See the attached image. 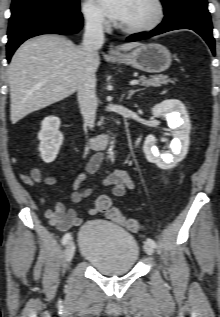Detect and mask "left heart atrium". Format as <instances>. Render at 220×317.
<instances>
[{
    "label": "left heart atrium",
    "mask_w": 220,
    "mask_h": 317,
    "mask_svg": "<svg viewBox=\"0 0 220 317\" xmlns=\"http://www.w3.org/2000/svg\"><path fill=\"white\" fill-rule=\"evenodd\" d=\"M102 11L112 20L123 23L127 17L131 0H96Z\"/></svg>",
    "instance_id": "obj_1"
}]
</instances>
